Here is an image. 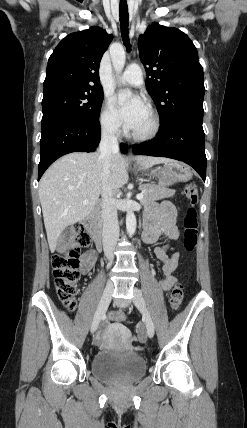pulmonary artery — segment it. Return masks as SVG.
<instances>
[{
    "label": "pulmonary artery",
    "mask_w": 247,
    "mask_h": 428,
    "mask_svg": "<svg viewBox=\"0 0 247 428\" xmlns=\"http://www.w3.org/2000/svg\"><path fill=\"white\" fill-rule=\"evenodd\" d=\"M120 81L130 86L141 85L143 83V74L140 66L137 64L129 65L120 76Z\"/></svg>",
    "instance_id": "pulmonary-artery-1"
}]
</instances>
